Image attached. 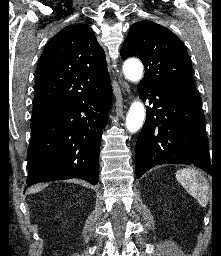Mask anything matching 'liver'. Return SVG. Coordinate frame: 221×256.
<instances>
[{"instance_id": "obj_1", "label": "liver", "mask_w": 221, "mask_h": 256, "mask_svg": "<svg viewBox=\"0 0 221 256\" xmlns=\"http://www.w3.org/2000/svg\"><path fill=\"white\" fill-rule=\"evenodd\" d=\"M44 186H35L33 188L30 189V193H35L38 192L40 189H42Z\"/></svg>"}]
</instances>
